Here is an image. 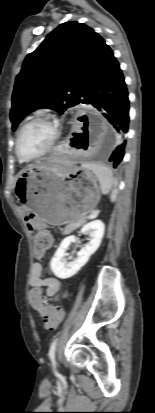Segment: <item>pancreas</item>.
I'll use <instances>...</instances> for the list:
<instances>
[{
    "label": "pancreas",
    "mask_w": 155,
    "mask_h": 413,
    "mask_svg": "<svg viewBox=\"0 0 155 413\" xmlns=\"http://www.w3.org/2000/svg\"><path fill=\"white\" fill-rule=\"evenodd\" d=\"M83 221H77L75 223H70L67 226H65V228L63 229V233H69L71 231H73L74 229L78 228Z\"/></svg>",
    "instance_id": "obj_1"
}]
</instances>
